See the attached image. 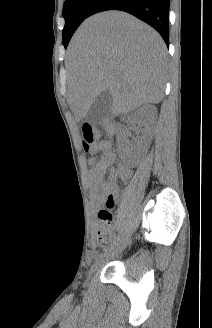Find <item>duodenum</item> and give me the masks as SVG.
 <instances>
[{"label":"duodenum","instance_id":"duodenum-1","mask_svg":"<svg viewBox=\"0 0 212 328\" xmlns=\"http://www.w3.org/2000/svg\"><path fill=\"white\" fill-rule=\"evenodd\" d=\"M105 126L109 132H114L115 131V123L112 120H107L105 122Z\"/></svg>","mask_w":212,"mask_h":328}]
</instances>
